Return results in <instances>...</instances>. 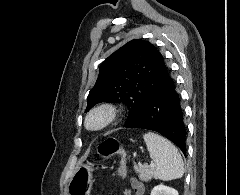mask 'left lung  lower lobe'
I'll return each mask as SVG.
<instances>
[{
	"label": "left lung lower lobe",
	"instance_id": "obj_1",
	"mask_svg": "<svg viewBox=\"0 0 240 195\" xmlns=\"http://www.w3.org/2000/svg\"><path fill=\"white\" fill-rule=\"evenodd\" d=\"M123 127L156 131L186 153V131L180 97L170 74L164 83L148 98L139 112Z\"/></svg>",
	"mask_w": 240,
	"mask_h": 195
}]
</instances>
